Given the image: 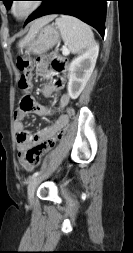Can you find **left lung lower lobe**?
Here are the masks:
<instances>
[{"label": "left lung lower lobe", "mask_w": 133, "mask_h": 253, "mask_svg": "<svg viewBox=\"0 0 133 253\" xmlns=\"http://www.w3.org/2000/svg\"><path fill=\"white\" fill-rule=\"evenodd\" d=\"M43 1L26 21L48 14H66L79 18L94 27L102 37L105 32L106 1L108 0H39Z\"/></svg>", "instance_id": "obj_1"}]
</instances>
